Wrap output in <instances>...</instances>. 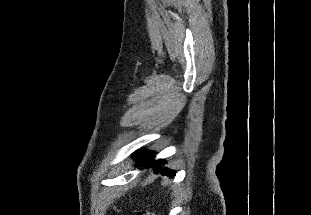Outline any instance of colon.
<instances>
[{"label":"colon","mask_w":311,"mask_h":215,"mask_svg":"<svg viewBox=\"0 0 311 215\" xmlns=\"http://www.w3.org/2000/svg\"><path fill=\"white\" fill-rule=\"evenodd\" d=\"M137 215H157V214L148 212V211H142V212H139Z\"/></svg>","instance_id":"obj_1"}]
</instances>
